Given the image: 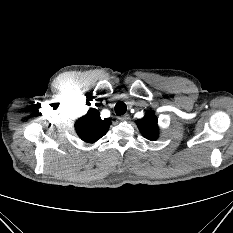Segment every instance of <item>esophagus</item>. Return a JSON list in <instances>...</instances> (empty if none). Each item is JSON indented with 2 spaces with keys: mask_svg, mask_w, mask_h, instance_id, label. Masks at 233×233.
<instances>
[{
  "mask_svg": "<svg viewBox=\"0 0 233 233\" xmlns=\"http://www.w3.org/2000/svg\"><path fill=\"white\" fill-rule=\"evenodd\" d=\"M129 119H130L129 114H124V115H122L121 117H119V120H120V121H127V120H129Z\"/></svg>",
  "mask_w": 233,
  "mask_h": 233,
  "instance_id": "obj_1",
  "label": "esophagus"
}]
</instances>
